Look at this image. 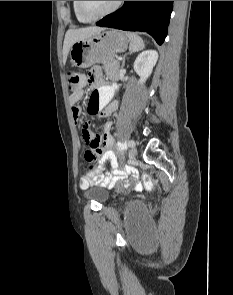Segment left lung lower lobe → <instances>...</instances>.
I'll use <instances>...</instances> for the list:
<instances>
[{
    "label": "left lung lower lobe",
    "mask_w": 233,
    "mask_h": 295,
    "mask_svg": "<svg viewBox=\"0 0 233 295\" xmlns=\"http://www.w3.org/2000/svg\"><path fill=\"white\" fill-rule=\"evenodd\" d=\"M172 8L173 1H125L119 10L107 15L96 25L147 32L161 45L167 35Z\"/></svg>",
    "instance_id": "left-lung-lower-lobe-1"
}]
</instances>
